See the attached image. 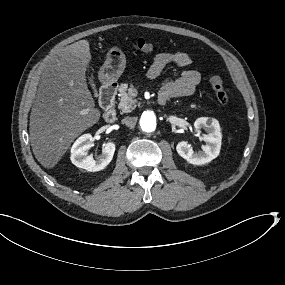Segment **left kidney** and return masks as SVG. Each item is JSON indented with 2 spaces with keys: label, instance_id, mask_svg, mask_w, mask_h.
<instances>
[{
  "label": "left kidney",
  "instance_id": "obj_1",
  "mask_svg": "<svg viewBox=\"0 0 285 285\" xmlns=\"http://www.w3.org/2000/svg\"><path fill=\"white\" fill-rule=\"evenodd\" d=\"M202 129L207 134L202 133ZM194 135L199 136L201 141L207 143L200 154H194L192 148L186 140L179 141L176 145V151L183 159L193 165H204L217 158L221 148V130L217 120L208 117H202L195 120L193 124Z\"/></svg>",
  "mask_w": 285,
  "mask_h": 285
}]
</instances>
